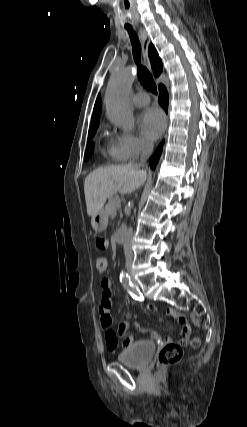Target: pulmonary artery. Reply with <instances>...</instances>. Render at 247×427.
<instances>
[{
	"mask_svg": "<svg viewBox=\"0 0 247 427\" xmlns=\"http://www.w3.org/2000/svg\"><path fill=\"white\" fill-rule=\"evenodd\" d=\"M150 102V98L148 95L144 94V93H138L136 94L133 99H132V103L133 105L137 106V107H142L147 105Z\"/></svg>",
	"mask_w": 247,
	"mask_h": 427,
	"instance_id": "e3ab8cb5",
	"label": "pulmonary artery"
}]
</instances>
